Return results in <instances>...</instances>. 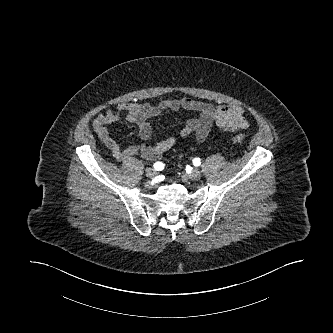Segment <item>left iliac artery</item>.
<instances>
[{"label":"left iliac artery","instance_id":"1","mask_svg":"<svg viewBox=\"0 0 333 333\" xmlns=\"http://www.w3.org/2000/svg\"><path fill=\"white\" fill-rule=\"evenodd\" d=\"M193 164H194V166H199L200 164H201V160H200V158H194L193 159Z\"/></svg>","mask_w":333,"mask_h":333}]
</instances>
